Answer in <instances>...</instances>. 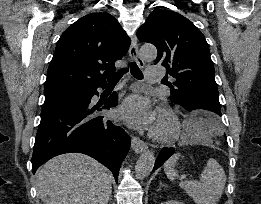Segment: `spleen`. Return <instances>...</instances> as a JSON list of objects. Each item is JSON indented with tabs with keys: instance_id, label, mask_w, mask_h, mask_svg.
<instances>
[{
	"instance_id": "obj_1",
	"label": "spleen",
	"mask_w": 261,
	"mask_h": 204,
	"mask_svg": "<svg viewBox=\"0 0 261 204\" xmlns=\"http://www.w3.org/2000/svg\"><path fill=\"white\" fill-rule=\"evenodd\" d=\"M202 119H198L193 125H186V132L190 143L208 144L210 132L201 127ZM179 154L170 157L164 164L167 178L175 180L177 171L175 164ZM226 184V174L221 165L213 158L208 159L207 165L200 175L199 181H182L179 186L193 199L196 204H217Z\"/></svg>"
}]
</instances>
